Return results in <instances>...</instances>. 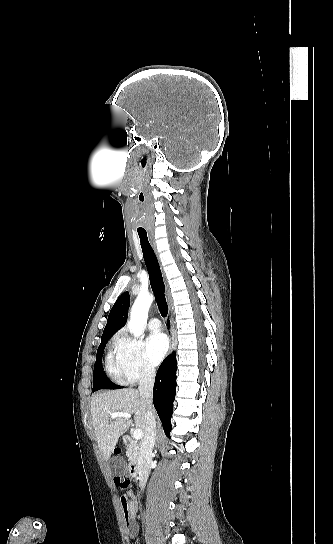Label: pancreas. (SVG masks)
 Instances as JSON below:
<instances>
[{
    "mask_svg": "<svg viewBox=\"0 0 333 544\" xmlns=\"http://www.w3.org/2000/svg\"><path fill=\"white\" fill-rule=\"evenodd\" d=\"M138 448H139V445H137V444H134V445L128 447L127 457L131 462L136 460V458L138 456V451H137Z\"/></svg>",
    "mask_w": 333,
    "mask_h": 544,
    "instance_id": "obj_1",
    "label": "pancreas"
}]
</instances>
